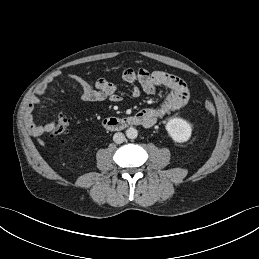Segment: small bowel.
I'll return each instance as SVG.
<instances>
[{
    "label": "small bowel",
    "instance_id": "1",
    "mask_svg": "<svg viewBox=\"0 0 259 259\" xmlns=\"http://www.w3.org/2000/svg\"><path fill=\"white\" fill-rule=\"evenodd\" d=\"M55 77H60V74H56ZM66 77L80 86L81 99L83 101L119 102L121 100L118 86L107 79L100 78L95 82H89L73 73L67 74ZM122 79L126 83L133 84L132 95L134 97H138L142 91L147 94H153L157 87H166L169 89V93L159 106L143 109L137 113L143 119V126L145 127H150L164 116L183 108L190 99V89L187 83L180 77L165 71L155 70L150 72L144 68L135 69L128 67L123 70ZM45 92L46 86H39L35 94L29 99L26 108L25 123L30 133L34 136L50 133L56 125L54 121L42 124L37 123L34 119V109L39 104L40 97Z\"/></svg>",
    "mask_w": 259,
    "mask_h": 259
}]
</instances>
